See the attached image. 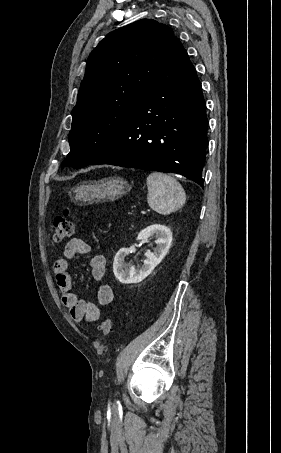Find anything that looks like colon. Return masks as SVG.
<instances>
[{"label": "colon", "instance_id": "obj_1", "mask_svg": "<svg viewBox=\"0 0 281 453\" xmlns=\"http://www.w3.org/2000/svg\"><path fill=\"white\" fill-rule=\"evenodd\" d=\"M75 219L70 216L69 208L66 207L65 214L58 216L54 220L53 234L57 243H64L69 240L75 227ZM114 329V320L112 316L106 315L99 323V332L102 336H111Z\"/></svg>", "mask_w": 281, "mask_h": 453}]
</instances>
